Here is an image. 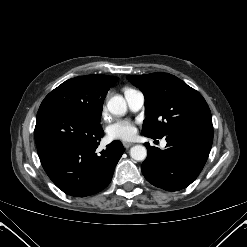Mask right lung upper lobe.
<instances>
[{
	"label": "right lung upper lobe",
	"instance_id": "cb5924a9",
	"mask_svg": "<svg viewBox=\"0 0 247 247\" xmlns=\"http://www.w3.org/2000/svg\"><path fill=\"white\" fill-rule=\"evenodd\" d=\"M104 87L105 91L108 92L110 87H112L118 80L117 77L107 76V75H93Z\"/></svg>",
	"mask_w": 247,
	"mask_h": 247
}]
</instances>
